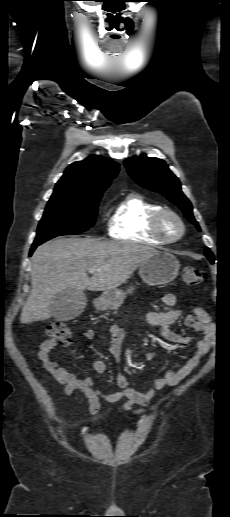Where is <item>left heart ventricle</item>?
I'll return each instance as SVG.
<instances>
[{"instance_id":"left-heart-ventricle-1","label":"left heart ventricle","mask_w":230,"mask_h":517,"mask_svg":"<svg viewBox=\"0 0 230 517\" xmlns=\"http://www.w3.org/2000/svg\"><path fill=\"white\" fill-rule=\"evenodd\" d=\"M165 229H166V232L171 236L175 235L178 232V226H177L176 222L173 221L172 219H168L166 221Z\"/></svg>"}]
</instances>
